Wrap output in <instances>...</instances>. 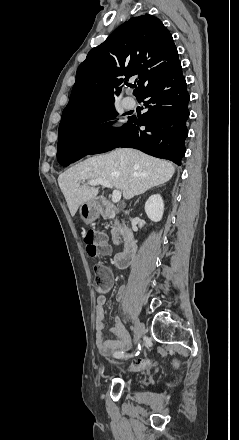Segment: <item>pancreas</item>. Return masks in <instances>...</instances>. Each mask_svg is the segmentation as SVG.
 I'll list each match as a JSON object with an SVG mask.
<instances>
[{
  "label": "pancreas",
  "mask_w": 239,
  "mask_h": 440,
  "mask_svg": "<svg viewBox=\"0 0 239 440\" xmlns=\"http://www.w3.org/2000/svg\"><path fill=\"white\" fill-rule=\"evenodd\" d=\"M111 234H112V242L115 244V246H118L119 240L121 236H123V226H121L120 222L118 220H114V224L111 226Z\"/></svg>",
  "instance_id": "cf45deb5"
}]
</instances>
